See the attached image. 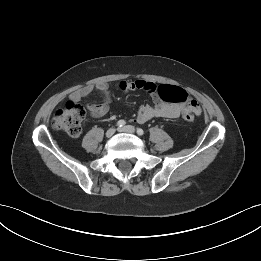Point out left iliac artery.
<instances>
[{
    "label": "left iliac artery",
    "mask_w": 261,
    "mask_h": 261,
    "mask_svg": "<svg viewBox=\"0 0 261 261\" xmlns=\"http://www.w3.org/2000/svg\"><path fill=\"white\" fill-rule=\"evenodd\" d=\"M137 134L140 135V136L143 135V134H144L143 129L138 128V129H137Z\"/></svg>",
    "instance_id": "left-iliac-artery-1"
}]
</instances>
